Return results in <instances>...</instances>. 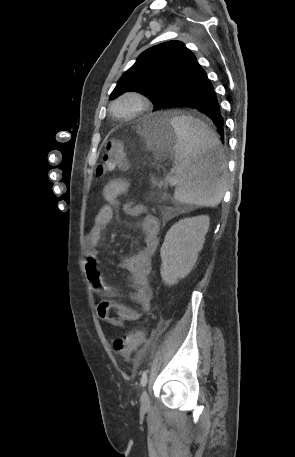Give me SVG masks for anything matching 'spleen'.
I'll return each instance as SVG.
<instances>
[{"label": "spleen", "mask_w": 295, "mask_h": 457, "mask_svg": "<svg viewBox=\"0 0 295 457\" xmlns=\"http://www.w3.org/2000/svg\"><path fill=\"white\" fill-rule=\"evenodd\" d=\"M171 123L178 137L175 152V200L197 206L216 207L227 189L224 155L217 134L191 116H174ZM213 152V163L204 157Z\"/></svg>", "instance_id": "1"}]
</instances>
